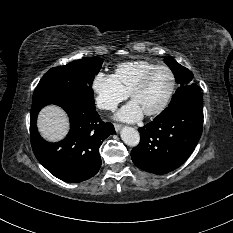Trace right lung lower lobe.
<instances>
[{
  "label": "right lung lower lobe",
  "instance_id": "1",
  "mask_svg": "<svg viewBox=\"0 0 233 233\" xmlns=\"http://www.w3.org/2000/svg\"><path fill=\"white\" fill-rule=\"evenodd\" d=\"M48 104L62 107L70 118V132L58 143H49L39 135L37 115ZM115 133L114 126L101 121L95 106L73 101L38 99L32 102L30 138L38 161L55 177L78 183L93 177L101 167L99 147Z\"/></svg>",
  "mask_w": 233,
  "mask_h": 233
}]
</instances>
